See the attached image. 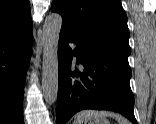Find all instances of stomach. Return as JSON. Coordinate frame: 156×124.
<instances>
[{
    "instance_id": "0dacf381",
    "label": "stomach",
    "mask_w": 156,
    "mask_h": 124,
    "mask_svg": "<svg viewBox=\"0 0 156 124\" xmlns=\"http://www.w3.org/2000/svg\"><path fill=\"white\" fill-rule=\"evenodd\" d=\"M84 124H110V123L106 118L100 117V118H93L91 120H88Z\"/></svg>"
}]
</instances>
